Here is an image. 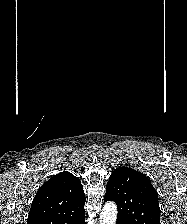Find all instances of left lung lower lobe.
Listing matches in <instances>:
<instances>
[{
	"instance_id": "obj_1",
	"label": "left lung lower lobe",
	"mask_w": 187,
	"mask_h": 224,
	"mask_svg": "<svg viewBox=\"0 0 187 224\" xmlns=\"http://www.w3.org/2000/svg\"><path fill=\"white\" fill-rule=\"evenodd\" d=\"M116 224H122V222H121V221H119V220H117V221H116Z\"/></svg>"
}]
</instances>
